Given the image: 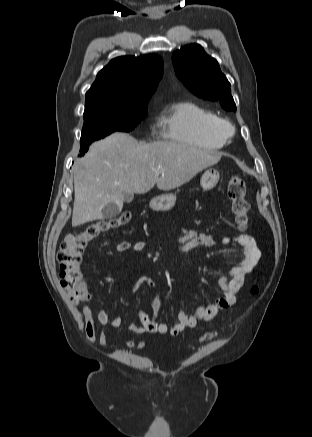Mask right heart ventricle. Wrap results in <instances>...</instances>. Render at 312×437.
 <instances>
[{
  "instance_id": "obj_1",
  "label": "right heart ventricle",
  "mask_w": 312,
  "mask_h": 437,
  "mask_svg": "<svg viewBox=\"0 0 312 437\" xmlns=\"http://www.w3.org/2000/svg\"><path fill=\"white\" fill-rule=\"evenodd\" d=\"M219 116L191 101L172 105L159 119L162 137L168 141L200 147L220 149L227 137L216 127Z\"/></svg>"
}]
</instances>
